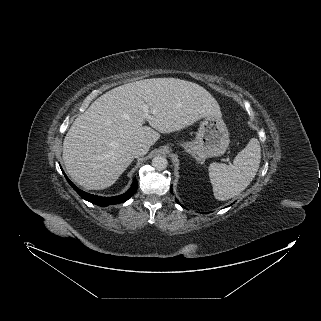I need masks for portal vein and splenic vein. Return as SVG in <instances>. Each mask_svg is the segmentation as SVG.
Masks as SVG:
<instances>
[{
  "label": "portal vein and splenic vein",
  "mask_w": 321,
  "mask_h": 321,
  "mask_svg": "<svg viewBox=\"0 0 321 321\" xmlns=\"http://www.w3.org/2000/svg\"><path fill=\"white\" fill-rule=\"evenodd\" d=\"M143 111H144V115H145V117L146 118H148L149 117V114H148V107L147 106H143Z\"/></svg>",
  "instance_id": "obj_1"
}]
</instances>
